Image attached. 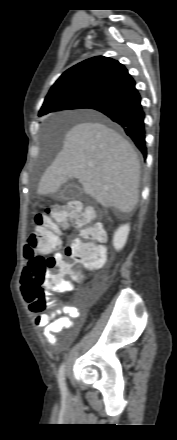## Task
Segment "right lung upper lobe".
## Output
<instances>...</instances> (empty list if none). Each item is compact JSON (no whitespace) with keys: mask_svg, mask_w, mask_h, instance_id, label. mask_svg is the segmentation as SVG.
Wrapping results in <instances>:
<instances>
[{"mask_svg":"<svg viewBox=\"0 0 177 440\" xmlns=\"http://www.w3.org/2000/svg\"><path fill=\"white\" fill-rule=\"evenodd\" d=\"M134 82L118 61L104 56L87 59L65 71L46 98L61 92H79L101 98Z\"/></svg>","mask_w":177,"mask_h":440,"instance_id":"right-lung-upper-lobe-1","label":"right lung upper lobe"}]
</instances>
